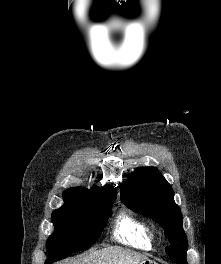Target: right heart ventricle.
Returning <instances> with one entry per match:
<instances>
[{
  "instance_id": "e07e8e85",
  "label": "right heart ventricle",
  "mask_w": 221,
  "mask_h": 264,
  "mask_svg": "<svg viewBox=\"0 0 221 264\" xmlns=\"http://www.w3.org/2000/svg\"><path fill=\"white\" fill-rule=\"evenodd\" d=\"M115 240L142 250L152 249L155 242V234L149 224L131 214H121L113 230Z\"/></svg>"
}]
</instances>
